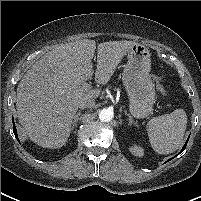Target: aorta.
I'll list each match as a JSON object with an SVG mask.
<instances>
[{
  "label": "aorta",
  "instance_id": "aorta-1",
  "mask_svg": "<svg viewBox=\"0 0 201 201\" xmlns=\"http://www.w3.org/2000/svg\"><path fill=\"white\" fill-rule=\"evenodd\" d=\"M113 116H114L113 112L109 109H102L99 112V119L103 122L111 121Z\"/></svg>",
  "mask_w": 201,
  "mask_h": 201
}]
</instances>
